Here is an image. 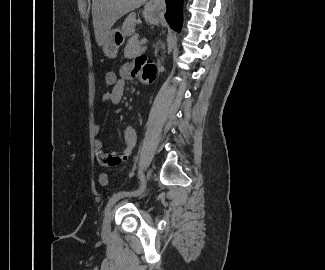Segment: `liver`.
I'll return each mask as SVG.
<instances>
[{
    "label": "liver",
    "instance_id": "1",
    "mask_svg": "<svg viewBox=\"0 0 325 270\" xmlns=\"http://www.w3.org/2000/svg\"><path fill=\"white\" fill-rule=\"evenodd\" d=\"M146 0H93L92 19L96 42L103 46L111 27L126 13L144 4ZM136 13L132 12L123 23L122 32H135Z\"/></svg>",
    "mask_w": 325,
    "mask_h": 270
}]
</instances>
